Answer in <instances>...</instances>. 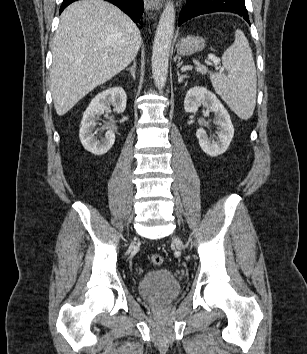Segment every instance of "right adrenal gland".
I'll return each instance as SVG.
<instances>
[{"instance_id": "right-adrenal-gland-1", "label": "right adrenal gland", "mask_w": 307, "mask_h": 354, "mask_svg": "<svg viewBox=\"0 0 307 354\" xmlns=\"http://www.w3.org/2000/svg\"><path fill=\"white\" fill-rule=\"evenodd\" d=\"M135 69H136V61L134 60V61H133V65H132L131 67L127 68V70H130L131 75H132V77H133L134 79L136 78V76H135Z\"/></svg>"}]
</instances>
